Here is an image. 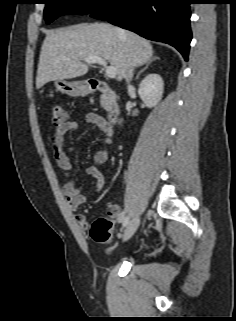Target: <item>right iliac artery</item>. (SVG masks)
Here are the masks:
<instances>
[{"mask_svg":"<svg viewBox=\"0 0 236 321\" xmlns=\"http://www.w3.org/2000/svg\"><path fill=\"white\" fill-rule=\"evenodd\" d=\"M129 217H123L122 225L125 227L128 224Z\"/></svg>","mask_w":236,"mask_h":321,"instance_id":"right-iliac-artery-1","label":"right iliac artery"}]
</instances>
